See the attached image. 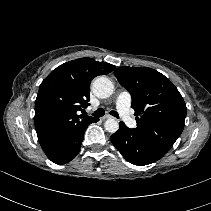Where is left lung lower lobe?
<instances>
[{"instance_id": "0a47b994", "label": "left lung lower lobe", "mask_w": 211, "mask_h": 211, "mask_svg": "<svg viewBox=\"0 0 211 211\" xmlns=\"http://www.w3.org/2000/svg\"><path fill=\"white\" fill-rule=\"evenodd\" d=\"M110 140L127 161L138 166L156 162L165 155L135 129L128 128L124 122L119 123L118 131L111 135Z\"/></svg>"}]
</instances>
